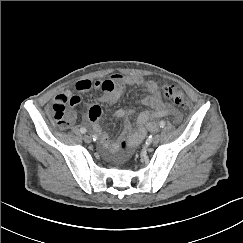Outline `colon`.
<instances>
[{
	"mask_svg": "<svg viewBox=\"0 0 243 243\" xmlns=\"http://www.w3.org/2000/svg\"><path fill=\"white\" fill-rule=\"evenodd\" d=\"M163 95L166 99L173 102L174 104L186 107L188 105V101L183 93V91L175 85H166L163 88ZM52 115L57 121V125L65 129L70 125L68 116L65 112V105L63 104H55L52 108ZM128 142L126 140L121 142V150L125 151L127 148Z\"/></svg>",
	"mask_w": 243,
	"mask_h": 243,
	"instance_id": "obj_1",
	"label": "colon"
}]
</instances>
